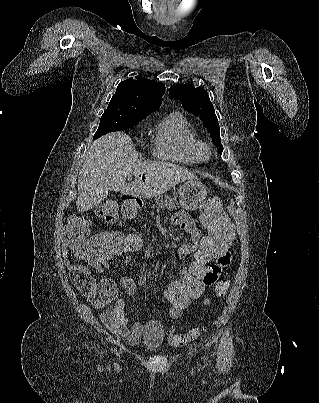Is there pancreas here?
I'll return each mask as SVG.
<instances>
[{
	"instance_id": "obj_1",
	"label": "pancreas",
	"mask_w": 319,
	"mask_h": 403,
	"mask_svg": "<svg viewBox=\"0 0 319 403\" xmlns=\"http://www.w3.org/2000/svg\"><path fill=\"white\" fill-rule=\"evenodd\" d=\"M156 204L160 208L168 207L169 209H176L178 206V203L176 202L175 199L170 198L168 195H160L156 198ZM154 206V205H153Z\"/></svg>"
}]
</instances>
